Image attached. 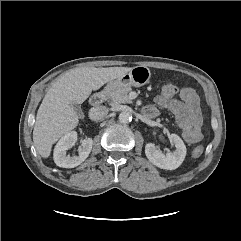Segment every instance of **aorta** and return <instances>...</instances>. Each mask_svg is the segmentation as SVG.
<instances>
[{"label": "aorta", "instance_id": "762f6f07", "mask_svg": "<svg viewBox=\"0 0 241 241\" xmlns=\"http://www.w3.org/2000/svg\"><path fill=\"white\" fill-rule=\"evenodd\" d=\"M118 120L120 123L127 124L132 120V114L129 111H122L119 114Z\"/></svg>", "mask_w": 241, "mask_h": 241}]
</instances>
